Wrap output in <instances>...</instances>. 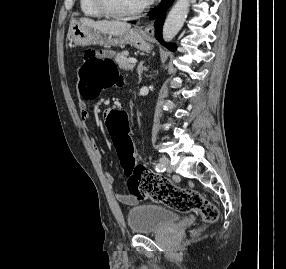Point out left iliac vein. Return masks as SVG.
Listing matches in <instances>:
<instances>
[{
    "label": "left iliac vein",
    "mask_w": 286,
    "mask_h": 269,
    "mask_svg": "<svg viewBox=\"0 0 286 269\" xmlns=\"http://www.w3.org/2000/svg\"><path fill=\"white\" fill-rule=\"evenodd\" d=\"M160 163L165 166L167 172H172V168H171V165H170V159L169 158L162 157L160 159Z\"/></svg>",
    "instance_id": "1"
}]
</instances>
